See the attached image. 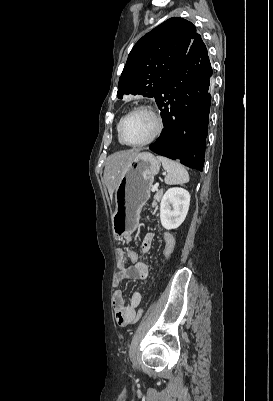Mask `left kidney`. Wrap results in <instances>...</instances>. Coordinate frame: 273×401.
I'll return each mask as SVG.
<instances>
[{"label":"left kidney","mask_w":273,"mask_h":401,"mask_svg":"<svg viewBox=\"0 0 273 401\" xmlns=\"http://www.w3.org/2000/svg\"><path fill=\"white\" fill-rule=\"evenodd\" d=\"M190 194L185 188H168L160 203V221L164 229H178L186 219Z\"/></svg>","instance_id":"obj_1"}]
</instances>
